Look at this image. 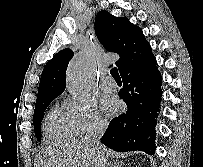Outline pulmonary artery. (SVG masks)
Returning <instances> with one entry per match:
<instances>
[{
	"label": "pulmonary artery",
	"instance_id": "pulmonary-artery-1",
	"mask_svg": "<svg viewBox=\"0 0 203 167\" xmlns=\"http://www.w3.org/2000/svg\"><path fill=\"white\" fill-rule=\"evenodd\" d=\"M100 86L104 91H113L116 89V82L110 76H107L102 80Z\"/></svg>",
	"mask_w": 203,
	"mask_h": 167
}]
</instances>
